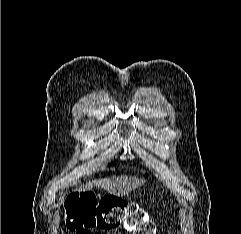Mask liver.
Returning a JSON list of instances; mask_svg holds the SVG:
<instances>
[{"label":"liver","mask_w":241,"mask_h":234,"mask_svg":"<svg viewBox=\"0 0 241 234\" xmlns=\"http://www.w3.org/2000/svg\"><path fill=\"white\" fill-rule=\"evenodd\" d=\"M144 182V179L132 176L111 177L88 183L82 189L89 190L95 186L104 189L109 194L120 196L130 193Z\"/></svg>","instance_id":"6515ba94"}]
</instances>
